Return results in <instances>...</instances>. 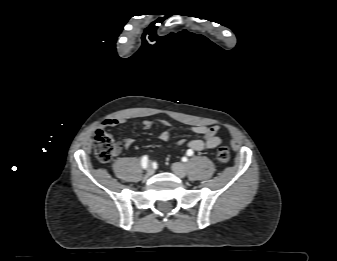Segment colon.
Masks as SVG:
<instances>
[{"label":"colon","mask_w":337,"mask_h":261,"mask_svg":"<svg viewBox=\"0 0 337 261\" xmlns=\"http://www.w3.org/2000/svg\"><path fill=\"white\" fill-rule=\"evenodd\" d=\"M94 150L96 158L102 163H107L115 156L117 146L110 134L103 130H97L94 137ZM229 159V150L226 147H220L216 152V160L220 164H225Z\"/></svg>","instance_id":"1"}]
</instances>
